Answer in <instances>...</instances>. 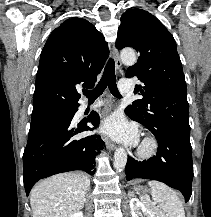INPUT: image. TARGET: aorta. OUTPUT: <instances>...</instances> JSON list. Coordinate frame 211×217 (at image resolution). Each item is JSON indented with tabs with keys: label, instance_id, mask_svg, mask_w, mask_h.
I'll use <instances>...</instances> for the list:
<instances>
[{
	"label": "aorta",
	"instance_id": "1",
	"mask_svg": "<svg viewBox=\"0 0 211 217\" xmlns=\"http://www.w3.org/2000/svg\"><path fill=\"white\" fill-rule=\"evenodd\" d=\"M120 57L123 63L128 65L135 64L137 57L132 49H124L120 53ZM127 162V153L124 148H117L114 153L113 166L116 170H123Z\"/></svg>",
	"mask_w": 211,
	"mask_h": 217
}]
</instances>
